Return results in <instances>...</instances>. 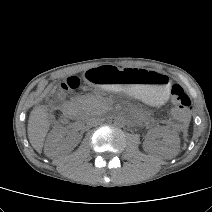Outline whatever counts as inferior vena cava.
I'll list each match as a JSON object with an SVG mask.
<instances>
[{"label": "inferior vena cava", "mask_w": 212, "mask_h": 212, "mask_svg": "<svg viewBox=\"0 0 212 212\" xmlns=\"http://www.w3.org/2000/svg\"><path fill=\"white\" fill-rule=\"evenodd\" d=\"M104 121V119L100 116H90L87 119V124L89 126H96L99 125L100 123H102Z\"/></svg>", "instance_id": "602c4592"}]
</instances>
